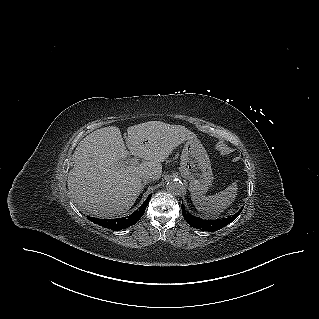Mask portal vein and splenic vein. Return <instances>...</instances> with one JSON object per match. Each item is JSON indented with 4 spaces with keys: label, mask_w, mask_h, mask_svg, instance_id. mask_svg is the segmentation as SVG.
Returning <instances> with one entry per match:
<instances>
[{
    "label": "portal vein and splenic vein",
    "mask_w": 319,
    "mask_h": 319,
    "mask_svg": "<svg viewBox=\"0 0 319 319\" xmlns=\"http://www.w3.org/2000/svg\"><path fill=\"white\" fill-rule=\"evenodd\" d=\"M138 162H139V160L137 158H133V159H129V160H126V161L122 162L121 165H123V166L129 165V164L137 165Z\"/></svg>",
    "instance_id": "obj_1"
}]
</instances>
